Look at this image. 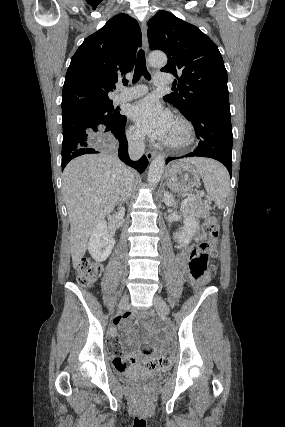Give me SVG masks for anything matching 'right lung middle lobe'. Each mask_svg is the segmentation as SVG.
Returning a JSON list of instances; mask_svg holds the SVG:
<instances>
[{
	"mask_svg": "<svg viewBox=\"0 0 285 427\" xmlns=\"http://www.w3.org/2000/svg\"><path fill=\"white\" fill-rule=\"evenodd\" d=\"M63 138L67 136V129L78 123H87L93 127L97 133H113L124 116L117 110H113L112 102L79 110L69 115L62 116Z\"/></svg>",
	"mask_w": 285,
	"mask_h": 427,
	"instance_id": "1",
	"label": "right lung middle lobe"
}]
</instances>
